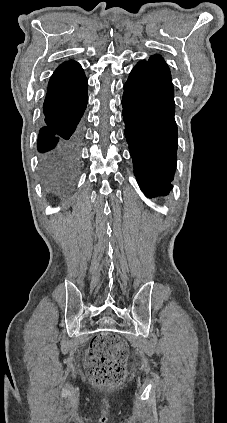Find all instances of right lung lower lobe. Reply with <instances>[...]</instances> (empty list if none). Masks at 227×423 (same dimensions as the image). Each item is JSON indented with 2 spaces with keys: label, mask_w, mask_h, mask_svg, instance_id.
I'll return each instance as SVG.
<instances>
[{
  "label": "right lung lower lobe",
  "mask_w": 227,
  "mask_h": 423,
  "mask_svg": "<svg viewBox=\"0 0 227 423\" xmlns=\"http://www.w3.org/2000/svg\"><path fill=\"white\" fill-rule=\"evenodd\" d=\"M88 101L87 91L61 97L46 95L45 126L40 129L37 148L44 182L51 189L62 190L73 183L79 165L82 142L79 124Z\"/></svg>",
  "instance_id": "obj_1"
}]
</instances>
